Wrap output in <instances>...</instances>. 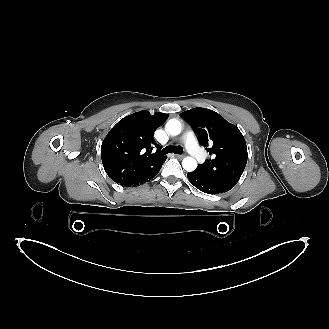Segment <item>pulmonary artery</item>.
Returning <instances> with one entry per match:
<instances>
[{
  "label": "pulmonary artery",
  "instance_id": "pulmonary-artery-1",
  "mask_svg": "<svg viewBox=\"0 0 329 329\" xmlns=\"http://www.w3.org/2000/svg\"><path fill=\"white\" fill-rule=\"evenodd\" d=\"M188 152L200 163L205 160V153L199 147L193 131H187L182 137Z\"/></svg>",
  "mask_w": 329,
  "mask_h": 329
}]
</instances>
